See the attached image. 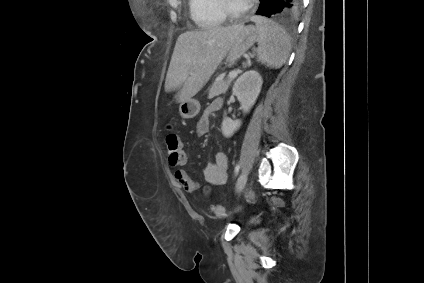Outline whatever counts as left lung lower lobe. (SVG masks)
Instances as JSON below:
<instances>
[{
    "mask_svg": "<svg viewBox=\"0 0 424 283\" xmlns=\"http://www.w3.org/2000/svg\"><path fill=\"white\" fill-rule=\"evenodd\" d=\"M258 15L271 17L274 15L296 14L302 5V0H260Z\"/></svg>",
    "mask_w": 424,
    "mask_h": 283,
    "instance_id": "obj_1",
    "label": "left lung lower lobe"
}]
</instances>
